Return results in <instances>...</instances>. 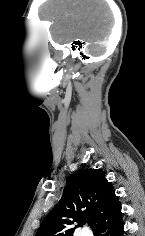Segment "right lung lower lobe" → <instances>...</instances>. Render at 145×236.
<instances>
[{"label": "right lung lower lobe", "mask_w": 145, "mask_h": 236, "mask_svg": "<svg viewBox=\"0 0 145 236\" xmlns=\"http://www.w3.org/2000/svg\"><path fill=\"white\" fill-rule=\"evenodd\" d=\"M93 231L95 236H122L124 225L122 222L121 207Z\"/></svg>", "instance_id": "98d812e1"}]
</instances>
